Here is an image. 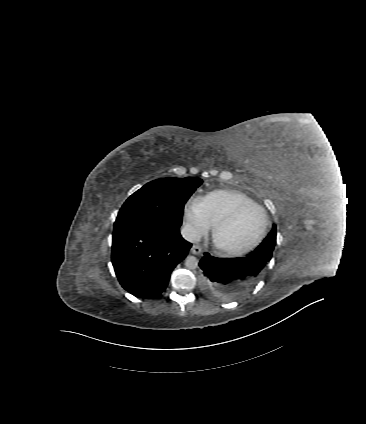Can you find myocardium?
Segmentation results:
<instances>
[{
	"instance_id": "f54148a6",
	"label": "myocardium",
	"mask_w": 366,
	"mask_h": 424,
	"mask_svg": "<svg viewBox=\"0 0 366 424\" xmlns=\"http://www.w3.org/2000/svg\"><path fill=\"white\" fill-rule=\"evenodd\" d=\"M248 208H257L258 210H260V212L263 215L264 223L259 235L251 243L242 247H228V246H224L220 244L217 240V236L220 230L226 227L227 225H229L230 223H232L242 211ZM268 225H269V219L263 207H261L257 203L241 204L237 206L236 208H234L231 212H229L226 216H224L223 218H221L214 224L212 233H211L213 246L215 247L217 251L225 255H230V256L242 255L252 250L253 248H255L263 240L264 236L267 233Z\"/></svg>"
}]
</instances>
